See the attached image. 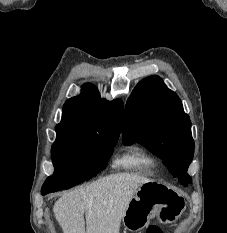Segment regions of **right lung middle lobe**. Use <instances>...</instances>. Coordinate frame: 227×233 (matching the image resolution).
<instances>
[{
    "label": "right lung middle lobe",
    "mask_w": 227,
    "mask_h": 233,
    "mask_svg": "<svg viewBox=\"0 0 227 233\" xmlns=\"http://www.w3.org/2000/svg\"><path fill=\"white\" fill-rule=\"evenodd\" d=\"M118 137L57 136L51 149L55 171L44 182L41 192L69 189L96 176L105 168Z\"/></svg>",
    "instance_id": "1"
}]
</instances>
